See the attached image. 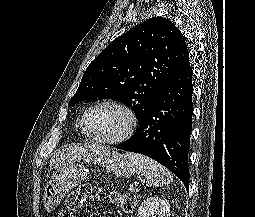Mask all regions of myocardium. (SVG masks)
<instances>
[{
  "instance_id": "f54148a6",
  "label": "myocardium",
  "mask_w": 255,
  "mask_h": 217,
  "mask_svg": "<svg viewBox=\"0 0 255 217\" xmlns=\"http://www.w3.org/2000/svg\"><path fill=\"white\" fill-rule=\"evenodd\" d=\"M101 106L115 107V108L121 110L126 115L127 120H128L127 126L124 129V131L117 137L102 138V137L92 134L88 130V128L86 126L87 116L93 109L101 107ZM80 126H81V129L84 132V134L95 141H98V142H101L104 144H118V143H121V142L127 140L134 133V131L136 130V128L138 126V118H137L135 111L128 104H126L122 101H119V100H115V99H105V100H101V101H98V102L92 104L85 110V112L82 115L81 121H80Z\"/></svg>"
}]
</instances>
